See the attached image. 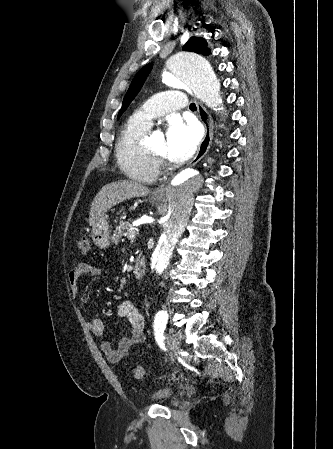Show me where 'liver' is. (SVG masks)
Listing matches in <instances>:
<instances>
[{
    "label": "liver",
    "instance_id": "1",
    "mask_svg": "<svg viewBox=\"0 0 333 449\" xmlns=\"http://www.w3.org/2000/svg\"><path fill=\"white\" fill-rule=\"evenodd\" d=\"M149 192V188L128 180L115 181L105 185L92 202L89 225L93 226L101 216L118 203L131 198L146 196Z\"/></svg>",
    "mask_w": 333,
    "mask_h": 449
}]
</instances>
